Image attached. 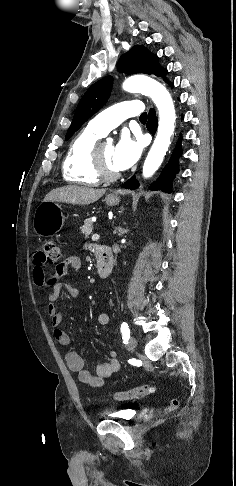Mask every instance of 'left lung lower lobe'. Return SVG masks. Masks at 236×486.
<instances>
[{
    "instance_id": "obj_1",
    "label": "left lung lower lobe",
    "mask_w": 236,
    "mask_h": 486,
    "mask_svg": "<svg viewBox=\"0 0 236 486\" xmlns=\"http://www.w3.org/2000/svg\"><path fill=\"white\" fill-rule=\"evenodd\" d=\"M166 82L173 87V84L169 81L166 80ZM147 128L149 131L154 134L157 128V118H156V113L154 109H151L149 112V120L147 123ZM181 138H179L176 148L172 153V156L168 162V164L164 167V169L161 172V175L159 179L154 182L151 186V190H163L165 192L171 193V183L173 178L175 177V174L178 173V158L182 154L181 150ZM139 186L137 180L133 176L130 180H128L125 184L124 187L127 189H136Z\"/></svg>"
}]
</instances>
